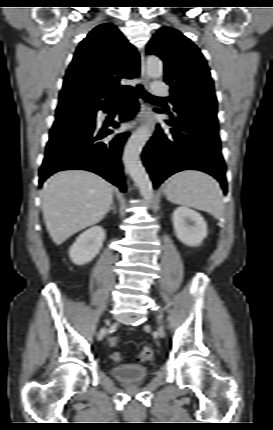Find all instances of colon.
Returning a JSON list of instances; mask_svg holds the SVG:
<instances>
[{"mask_svg":"<svg viewBox=\"0 0 273 430\" xmlns=\"http://www.w3.org/2000/svg\"><path fill=\"white\" fill-rule=\"evenodd\" d=\"M118 341H119V339H118V337H112L110 340H109V345L110 346H115V345H117V343H118ZM154 357V350L152 349V348H150V347H145V348H143L138 354H137V359L139 360V361H143V362H145V361H149V360H151L152 358ZM111 358L115 361V362H121L122 360H123V357H122V355H121V353H119V352H114L112 355H111Z\"/></svg>","mask_w":273,"mask_h":430,"instance_id":"colon-1","label":"colon"}]
</instances>
